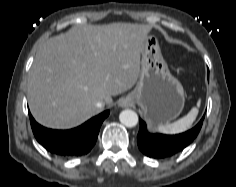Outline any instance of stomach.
<instances>
[{
  "mask_svg": "<svg viewBox=\"0 0 236 187\" xmlns=\"http://www.w3.org/2000/svg\"><path fill=\"white\" fill-rule=\"evenodd\" d=\"M140 65L138 82L127 98L141 107L150 128L168 124L182 112L185 95L163 59L156 36H147Z\"/></svg>",
  "mask_w": 236,
  "mask_h": 187,
  "instance_id": "obj_1",
  "label": "stomach"
}]
</instances>
